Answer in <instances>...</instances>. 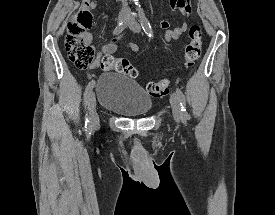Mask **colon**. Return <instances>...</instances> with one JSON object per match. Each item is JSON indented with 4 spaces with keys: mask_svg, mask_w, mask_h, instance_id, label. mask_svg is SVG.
<instances>
[{
    "mask_svg": "<svg viewBox=\"0 0 275 215\" xmlns=\"http://www.w3.org/2000/svg\"><path fill=\"white\" fill-rule=\"evenodd\" d=\"M92 0H81V6L74 13L67 25L64 46L70 60L79 67H87L94 61V49L88 39L87 29L92 24L90 4ZM202 45V30L199 25H192L185 45L184 60L187 68H192L199 59ZM103 70H115L127 77L136 76V68L129 59L106 54L100 61ZM169 82L165 79L150 81L147 91L151 97H162L168 93Z\"/></svg>",
    "mask_w": 275,
    "mask_h": 215,
    "instance_id": "5ec220e1",
    "label": "colon"
}]
</instances>
